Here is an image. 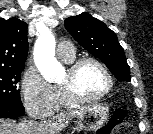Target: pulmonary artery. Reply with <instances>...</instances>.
Wrapping results in <instances>:
<instances>
[{
    "label": "pulmonary artery",
    "mask_w": 153,
    "mask_h": 134,
    "mask_svg": "<svg viewBox=\"0 0 153 134\" xmlns=\"http://www.w3.org/2000/svg\"><path fill=\"white\" fill-rule=\"evenodd\" d=\"M56 53L61 59H70L75 55V48L72 43L62 41L58 44Z\"/></svg>",
    "instance_id": "pulmonary-artery-1"
}]
</instances>
